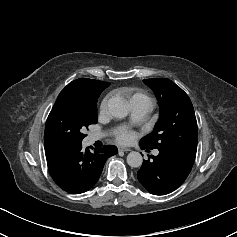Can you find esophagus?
Instances as JSON below:
<instances>
[{
	"label": "esophagus",
	"instance_id": "1",
	"mask_svg": "<svg viewBox=\"0 0 237 237\" xmlns=\"http://www.w3.org/2000/svg\"><path fill=\"white\" fill-rule=\"evenodd\" d=\"M118 151L119 152H129V151H131V149L130 148H126V147H118Z\"/></svg>",
	"mask_w": 237,
	"mask_h": 237
}]
</instances>
